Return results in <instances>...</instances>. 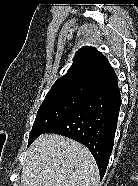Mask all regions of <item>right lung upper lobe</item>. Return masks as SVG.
Here are the masks:
<instances>
[{
    "mask_svg": "<svg viewBox=\"0 0 138 186\" xmlns=\"http://www.w3.org/2000/svg\"><path fill=\"white\" fill-rule=\"evenodd\" d=\"M70 86L102 90L115 88L118 84L106 57L95 48L87 46L76 52L72 66L54 83L51 90Z\"/></svg>",
    "mask_w": 138,
    "mask_h": 186,
    "instance_id": "cb5924a9",
    "label": "right lung upper lobe"
}]
</instances>
